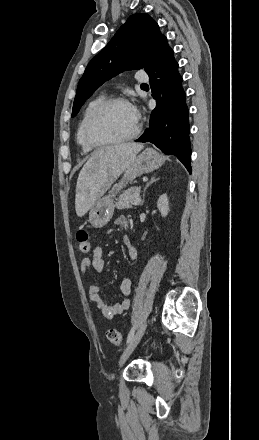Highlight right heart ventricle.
<instances>
[{"instance_id":"1","label":"right heart ventricle","mask_w":259,"mask_h":440,"mask_svg":"<svg viewBox=\"0 0 259 440\" xmlns=\"http://www.w3.org/2000/svg\"><path fill=\"white\" fill-rule=\"evenodd\" d=\"M106 99L105 95L101 94L98 95L97 97L93 98L92 100H90L88 102V104L86 105V107L84 108V111L81 115L80 121L78 123L77 126V130H76V141L78 143V145L81 147L82 151L84 153H89L91 151L94 150L93 147L89 146L85 140H84V136H83V127L85 124V121L88 117V115L91 113V111L101 102H103Z\"/></svg>"}]
</instances>
